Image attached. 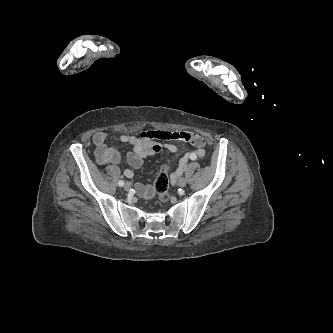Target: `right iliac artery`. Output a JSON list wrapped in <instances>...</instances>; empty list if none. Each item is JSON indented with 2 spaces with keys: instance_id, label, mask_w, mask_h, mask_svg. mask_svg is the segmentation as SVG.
<instances>
[{
  "instance_id": "right-iliac-artery-1",
  "label": "right iliac artery",
  "mask_w": 333,
  "mask_h": 333,
  "mask_svg": "<svg viewBox=\"0 0 333 333\" xmlns=\"http://www.w3.org/2000/svg\"><path fill=\"white\" fill-rule=\"evenodd\" d=\"M118 185L122 187L124 185V181L122 180L118 181Z\"/></svg>"
}]
</instances>
